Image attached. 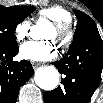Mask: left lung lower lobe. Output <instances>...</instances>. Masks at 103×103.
I'll list each match as a JSON object with an SVG mask.
<instances>
[{"label":"left lung lower lobe","mask_w":103,"mask_h":103,"mask_svg":"<svg viewBox=\"0 0 103 103\" xmlns=\"http://www.w3.org/2000/svg\"><path fill=\"white\" fill-rule=\"evenodd\" d=\"M64 74L62 86L44 93L45 103H88L98 87L103 70V41L90 31L53 63Z\"/></svg>","instance_id":"1"}]
</instances>
